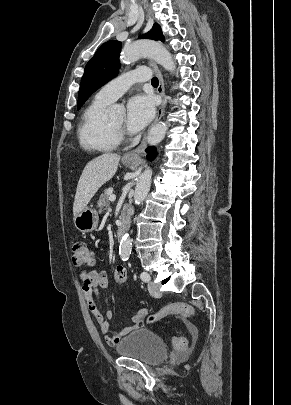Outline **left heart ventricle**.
<instances>
[{"label": "left heart ventricle", "instance_id": "b2bd125f", "mask_svg": "<svg viewBox=\"0 0 291 405\" xmlns=\"http://www.w3.org/2000/svg\"><path fill=\"white\" fill-rule=\"evenodd\" d=\"M114 126L123 128L125 124V116L122 115L111 122Z\"/></svg>", "mask_w": 291, "mask_h": 405}]
</instances>
